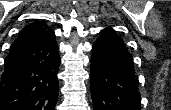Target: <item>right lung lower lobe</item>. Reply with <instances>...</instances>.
Segmentation results:
<instances>
[{"label":"right lung lower lobe","instance_id":"98d812e1","mask_svg":"<svg viewBox=\"0 0 171 110\" xmlns=\"http://www.w3.org/2000/svg\"><path fill=\"white\" fill-rule=\"evenodd\" d=\"M60 58L54 31L17 51L5 64L0 110H55Z\"/></svg>","mask_w":171,"mask_h":110}]
</instances>
